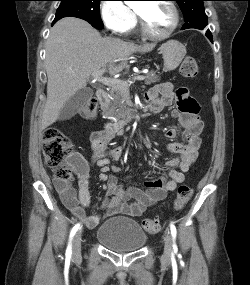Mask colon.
<instances>
[{
  "label": "colon",
  "mask_w": 250,
  "mask_h": 285,
  "mask_svg": "<svg viewBox=\"0 0 250 285\" xmlns=\"http://www.w3.org/2000/svg\"><path fill=\"white\" fill-rule=\"evenodd\" d=\"M180 73L185 78H194L198 73V64L192 57H186L180 65ZM97 112V103L90 99L81 109L84 118H93ZM73 143L58 129H48L43 137V155L47 166L53 169L54 177L58 181H69L72 171L69 158L72 154ZM193 190L187 185L179 186L174 201V208L181 210L190 200ZM143 228L149 233H157L160 230L159 222L155 219L146 218L142 221Z\"/></svg>",
  "instance_id": "colon-1"
}]
</instances>
